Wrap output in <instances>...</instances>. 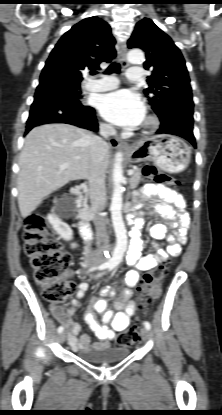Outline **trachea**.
I'll return each mask as SVG.
<instances>
[{"mask_svg": "<svg viewBox=\"0 0 222 415\" xmlns=\"http://www.w3.org/2000/svg\"><path fill=\"white\" fill-rule=\"evenodd\" d=\"M97 72L92 71L91 74L95 75ZM105 74H111V73H120V64L117 62H113L110 64V66L106 69L104 72Z\"/></svg>", "mask_w": 222, "mask_h": 415, "instance_id": "obj_1", "label": "trachea"}]
</instances>
